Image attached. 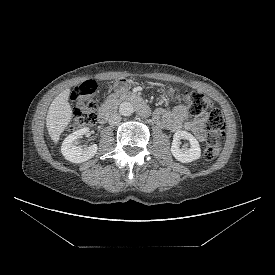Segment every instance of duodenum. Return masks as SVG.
Segmentation results:
<instances>
[{"instance_id":"410a0bca","label":"duodenum","mask_w":275,"mask_h":275,"mask_svg":"<svg viewBox=\"0 0 275 275\" xmlns=\"http://www.w3.org/2000/svg\"><path fill=\"white\" fill-rule=\"evenodd\" d=\"M119 102H130L134 104L139 113L144 117L149 116L150 114V109L143 98L136 93L128 92L122 94L119 99L106 103L101 108L98 114V122L100 124H104L107 122Z\"/></svg>"}]
</instances>
